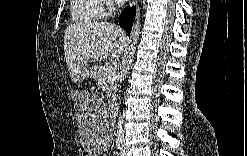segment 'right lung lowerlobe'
<instances>
[{
  "label": "right lung lower lobe",
  "instance_id": "obj_1",
  "mask_svg": "<svg viewBox=\"0 0 247 156\" xmlns=\"http://www.w3.org/2000/svg\"><path fill=\"white\" fill-rule=\"evenodd\" d=\"M135 18V11L133 8L126 7L120 16L119 24L128 33L132 30V25Z\"/></svg>",
  "mask_w": 247,
  "mask_h": 156
}]
</instances>
